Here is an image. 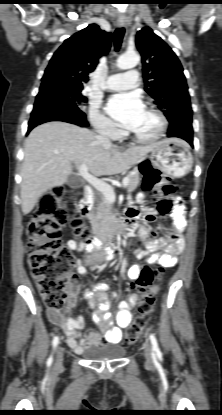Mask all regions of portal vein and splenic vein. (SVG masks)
<instances>
[{
	"label": "portal vein and splenic vein",
	"instance_id": "obj_1",
	"mask_svg": "<svg viewBox=\"0 0 222 415\" xmlns=\"http://www.w3.org/2000/svg\"><path fill=\"white\" fill-rule=\"evenodd\" d=\"M79 174L94 188H96L98 191H100L104 197L109 201L110 203H113L116 199L115 192L108 183L96 178L95 176L91 175L88 172V168L85 164H81L77 166ZM129 183V177H125L122 180L123 187H126Z\"/></svg>",
	"mask_w": 222,
	"mask_h": 415
}]
</instances>
